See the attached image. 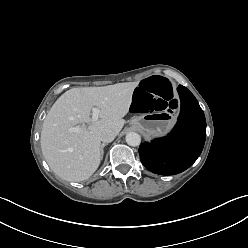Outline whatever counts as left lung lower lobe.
I'll use <instances>...</instances> for the list:
<instances>
[{
    "label": "left lung lower lobe",
    "instance_id": "left-lung-lower-lobe-1",
    "mask_svg": "<svg viewBox=\"0 0 248 248\" xmlns=\"http://www.w3.org/2000/svg\"><path fill=\"white\" fill-rule=\"evenodd\" d=\"M181 110L173 130L139 147L142 164L151 172L174 175L189 168L200 156L206 138L204 112L194 95L179 85Z\"/></svg>",
    "mask_w": 248,
    "mask_h": 248
}]
</instances>
